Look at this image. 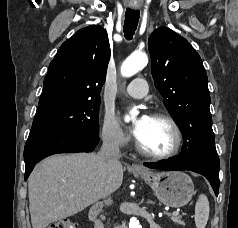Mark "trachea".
Listing matches in <instances>:
<instances>
[{
	"mask_svg": "<svg viewBox=\"0 0 238 228\" xmlns=\"http://www.w3.org/2000/svg\"><path fill=\"white\" fill-rule=\"evenodd\" d=\"M140 12L138 10L127 9L124 21V36L131 40L138 25Z\"/></svg>",
	"mask_w": 238,
	"mask_h": 228,
	"instance_id": "trachea-1",
	"label": "trachea"
}]
</instances>
